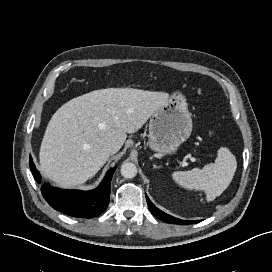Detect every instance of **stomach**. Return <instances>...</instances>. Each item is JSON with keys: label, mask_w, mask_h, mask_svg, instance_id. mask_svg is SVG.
Returning a JSON list of instances; mask_svg holds the SVG:
<instances>
[{"label": "stomach", "mask_w": 272, "mask_h": 272, "mask_svg": "<svg viewBox=\"0 0 272 272\" xmlns=\"http://www.w3.org/2000/svg\"><path fill=\"white\" fill-rule=\"evenodd\" d=\"M192 132V119L187 102L180 92H174L150 118L149 147L166 155L174 154Z\"/></svg>", "instance_id": "obj_1"}]
</instances>
